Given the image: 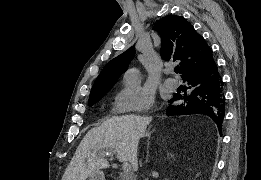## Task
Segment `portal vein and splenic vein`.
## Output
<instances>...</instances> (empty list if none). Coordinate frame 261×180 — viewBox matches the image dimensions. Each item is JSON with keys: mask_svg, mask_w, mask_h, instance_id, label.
Returning <instances> with one entry per match:
<instances>
[{"mask_svg": "<svg viewBox=\"0 0 261 180\" xmlns=\"http://www.w3.org/2000/svg\"><path fill=\"white\" fill-rule=\"evenodd\" d=\"M113 152H116V150H113ZM122 168H123L124 172H128V170H130V166H129V164H127V162H124Z\"/></svg>", "mask_w": 261, "mask_h": 180, "instance_id": "obj_1", "label": "portal vein and splenic vein"}]
</instances>
